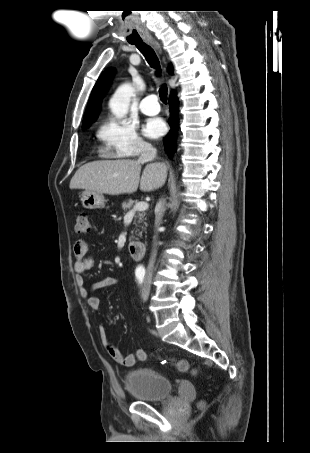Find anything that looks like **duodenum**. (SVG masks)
<instances>
[{"instance_id":"duodenum-1","label":"duodenum","mask_w":310,"mask_h":453,"mask_svg":"<svg viewBox=\"0 0 310 453\" xmlns=\"http://www.w3.org/2000/svg\"><path fill=\"white\" fill-rule=\"evenodd\" d=\"M128 248L131 257L135 260H141L146 253V245L140 241L131 242Z\"/></svg>"}]
</instances>
